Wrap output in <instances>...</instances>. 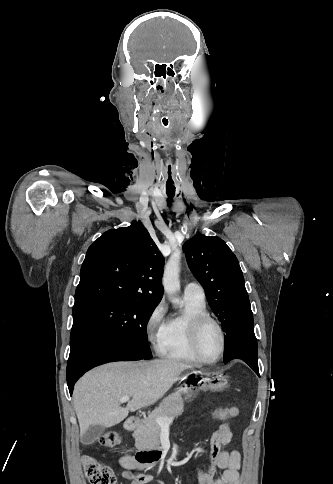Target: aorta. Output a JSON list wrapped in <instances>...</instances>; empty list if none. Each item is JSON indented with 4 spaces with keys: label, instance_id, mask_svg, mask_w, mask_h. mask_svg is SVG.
Here are the masks:
<instances>
[{
    "label": "aorta",
    "instance_id": "aorta-1",
    "mask_svg": "<svg viewBox=\"0 0 333 484\" xmlns=\"http://www.w3.org/2000/svg\"><path fill=\"white\" fill-rule=\"evenodd\" d=\"M180 259V251L175 250L165 265L162 278L164 291L168 294L173 303L177 301L175 295L180 290Z\"/></svg>",
    "mask_w": 333,
    "mask_h": 484
}]
</instances>
